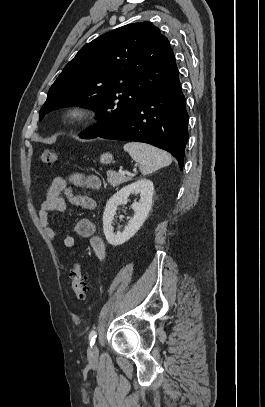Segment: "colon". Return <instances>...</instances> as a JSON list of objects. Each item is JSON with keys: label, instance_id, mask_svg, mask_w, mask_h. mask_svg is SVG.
Instances as JSON below:
<instances>
[{"label": "colon", "instance_id": "5ec220e1", "mask_svg": "<svg viewBox=\"0 0 265 407\" xmlns=\"http://www.w3.org/2000/svg\"><path fill=\"white\" fill-rule=\"evenodd\" d=\"M58 159V152L54 150H44L40 156L39 161L46 165L54 164ZM72 288L77 301L81 303H88L89 288L87 278L82 272V265L78 260L74 261L73 269L71 270Z\"/></svg>", "mask_w": 265, "mask_h": 407}]
</instances>
